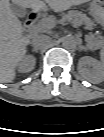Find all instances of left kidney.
<instances>
[{
  "label": "left kidney",
  "instance_id": "5707ae66",
  "mask_svg": "<svg viewBox=\"0 0 104 137\" xmlns=\"http://www.w3.org/2000/svg\"><path fill=\"white\" fill-rule=\"evenodd\" d=\"M79 67L82 74H85L88 78L95 82H101L104 75L103 62L97 61L91 57H82L79 60ZM88 67V68H86ZM92 67V70L89 69Z\"/></svg>",
  "mask_w": 104,
  "mask_h": 137
}]
</instances>
